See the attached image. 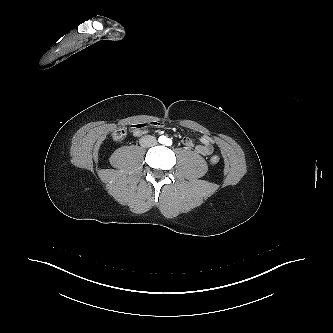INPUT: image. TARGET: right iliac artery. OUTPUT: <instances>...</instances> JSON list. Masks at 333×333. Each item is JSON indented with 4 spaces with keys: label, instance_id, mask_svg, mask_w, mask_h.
Wrapping results in <instances>:
<instances>
[{
    "label": "right iliac artery",
    "instance_id": "82829eb1",
    "mask_svg": "<svg viewBox=\"0 0 333 333\" xmlns=\"http://www.w3.org/2000/svg\"><path fill=\"white\" fill-rule=\"evenodd\" d=\"M165 138L164 137H160V142H164Z\"/></svg>",
    "mask_w": 333,
    "mask_h": 333
}]
</instances>
